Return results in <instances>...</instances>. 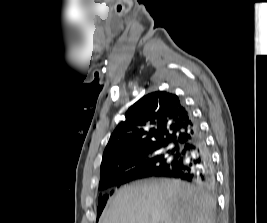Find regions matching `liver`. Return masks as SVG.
Here are the masks:
<instances>
[{
	"label": "liver",
	"instance_id": "obj_1",
	"mask_svg": "<svg viewBox=\"0 0 267 223\" xmlns=\"http://www.w3.org/2000/svg\"><path fill=\"white\" fill-rule=\"evenodd\" d=\"M215 200L180 180L150 179L122 187L101 223H215Z\"/></svg>",
	"mask_w": 267,
	"mask_h": 223
}]
</instances>
